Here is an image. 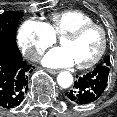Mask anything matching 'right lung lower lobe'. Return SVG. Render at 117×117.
<instances>
[{
	"instance_id": "1",
	"label": "right lung lower lobe",
	"mask_w": 117,
	"mask_h": 117,
	"mask_svg": "<svg viewBox=\"0 0 117 117\" xmlns=\"http://www.w3.org/2000/svg\"><path fill=\"white\" fill-rule=\"evenodd\" d=\"M32 70L15 41L0 40V109L14 108L23 101Z\"/></svg>"
}]
</instances>
